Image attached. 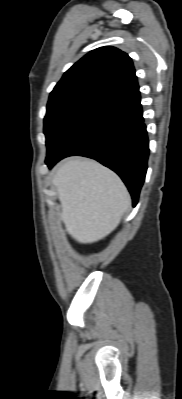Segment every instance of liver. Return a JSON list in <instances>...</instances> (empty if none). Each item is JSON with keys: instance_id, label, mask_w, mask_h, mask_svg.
<instances>
[{"instance_id": "liver-1", "label": "liver", "mask_w": 182, "mask_h": 399, "mask_svg": "<svg viewBox=\"0 0 182 399\" xmlns=\"http://www.w3.org/2000/svg\"><path fill=\"white\" fill-rule=\"evenodd\" d=\"M53 184L66 231L79 243H93L106 237L131 205L121 179L96 161L67 160L57 169Z\"/></svg>"}]
</instances>
